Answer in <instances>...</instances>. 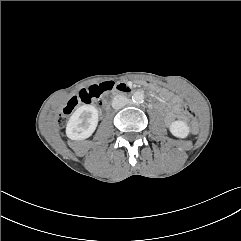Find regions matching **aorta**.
I'll use <instances>...</instances> for the list:
<instances>
[{"mask_svg": "<svg viewBox=\"0 0 241 241\" xmlns=\"http://www.w3.org/2000/svg\"><path fill=\"white\" fill-rule=\"evenodd\" d=\"M132 100L136 103H141L144 101V93L141 91L134 92Z\"/></svg>", "mask_w": 241, "mask_h": 241, "instance_id": "762f6f07", "label": "aorta"}]
</instances>
